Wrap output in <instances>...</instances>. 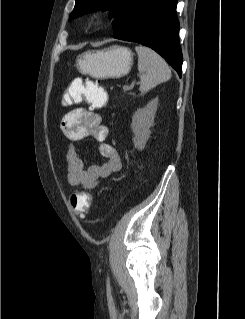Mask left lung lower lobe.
Listing matches in <instances>:
<instances>
[{
    "label": "left lung lower lobe",
    "instance_id": "1",
    "mask_svg": "<svg viewBox=\"0 0 245 319\" xmlns=\"http://www.w3.org/2000/svg\"><path fill=\"white\" fill-rule=\"evenodd\" d=\"M177 0H140L114 38L137 42L159 53L181 76Z\"/></svg>",
    "mask_w": 245,
    "mask_h": 319
}]
</instances>
